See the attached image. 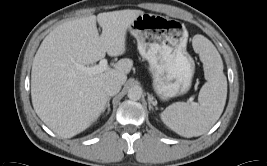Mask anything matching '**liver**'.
Here are the masks:
<instances>
[{
	"label": "liver",
	"instance_id": "liver-1",
	"mask_svg": "<svg viewBox=\"0 0 267 166\" xmlns=\"http://www.w3.org/2000/svg\"><path fill=\"white\" fill-rule=\"evenodd\" d=\"M143 13L126 9L70 20L44 38L33 59L31 97L35 112L53 132L71 138L104 112L109 98L105 83L114 79L123 85L133 61L120 59L114 68L91 75L78 65L94 64L106 53L123 55L127 30Z\"/></svg>",
	"mask_w": 267,
	"mask_h": 166
}]
</instances>
